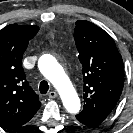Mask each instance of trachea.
<instances>
[{"label":"trachea","instance_id":"obj_1","mask_svg":"<svg viewBox=\"0 0 133 133\" xmlns=\"http://www.w3.org/2000/svg\"><path fill=\"white\" fill-rule=\"evenodd\" d=\"M49 90V85L47 83V81L43 80L40 82V85H39V91L41 94H46Z\"/></svg>","mask_w":133,"mask_h":133}]
</instances>
